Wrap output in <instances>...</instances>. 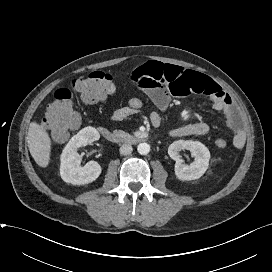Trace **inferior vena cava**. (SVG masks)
Returning a JSON list of instances; mask_svg holds the SVG:
<instances>
[{
  "label": "inferior vena cava",
  "instance_id": "obj_1",
  "mask_svg": "<svg viewBox=\"0 0 272 272\" xmlns=\"http://www.w3.org/2000/svg\"><path fill=\"white\" fill-rule=\"evenodd\" d=\"M120 154L121 155H129L132 153L133 151V148L131 145L129 144H123L121 147H120Z\"/></svg>",
  "mask_w": 272,
  "mask_h": 272
}]
</instances>
